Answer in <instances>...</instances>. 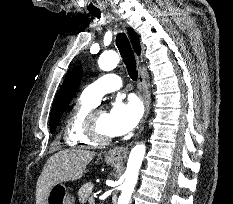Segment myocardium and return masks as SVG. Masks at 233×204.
<instances>
[{
	"label": "myocardium",
	"instance_id": "f54148a6",
	"mask_svg": "<svg viewBox=\"0 0 233 204\" xmlns=\"http://www.w3.org/2000/svg\"><path fill=\"white\" fill-rule=\"evenodd\" d=\"M100 109H93L87 116L86 119V132L89 138H91L96 143H109L113 140V136L103 134L97 125V115Z\"/></svg>",
	"mask_w": 233,
	"mask_h": 204
}]
</instances>
